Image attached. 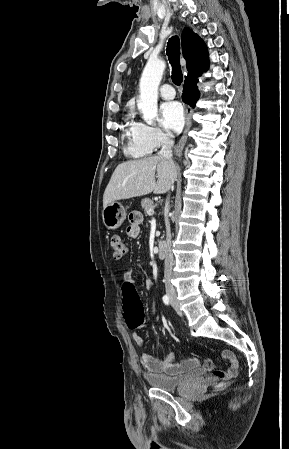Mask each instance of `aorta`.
Listing matches in <instances>:
<instances>
[{"label": "aorta", "mask_w": 289, "mask_h": 449, "mask_svg": "<svg viewBox=\"0 0 289 449\" xmlns=\"http://www.w3.org/2000/svg\"><path fill=\"white\" fill-rule=\"evenodd\" d=\"M165 69L162 59L150 58L143 70L139 88L140 96L137 101L138 109L143 114L146 123L152 124L157 116L158 87Z\"/></svg>", "instance_id": "1"}]
</instances>
